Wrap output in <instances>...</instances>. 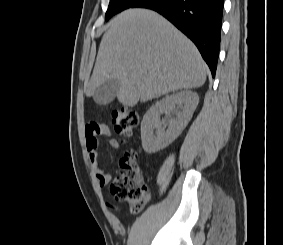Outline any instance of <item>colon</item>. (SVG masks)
I'll return each mask as SVG.
<instances>
[{"label": "colon", "mask_w": 283, "mask_h": 245, "mask_svg": "<svg viewBox=\"0 0 283 245\" xmlns=\"http://www.w3.org/2000/svg\"><path fill=\"white\" fill-rule=\"evenodd\" d=\"M111 118L115 132L124 139L132 137L139 122L135 110L121 107L112 112ZM120 167L121 172L112 181L110 191L116 200L126 202L133 212H139L149 200L150 191L142 178L136 152L126 151Z\"/></svg>", "instance_id": "obj_1"}]
</instances>
